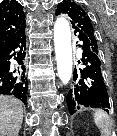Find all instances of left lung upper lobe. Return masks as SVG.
I'll return each instance as SVG.
<instances>
[{"mask_svg": "<svg viewBox=\"0 0 117 136\" xmlns=\"http://www.w3.org/2000/svg\"><path fill=\"white\" fill-rule=\"evenodd\" d=\"M68 14L72 19V27L75 32L83 34L89 41L92 50L99 55V44L96 37L95 29L87 12L74 1H63L58 5L56 14Z\"/></svg>", "mask_w": 117, "mask_h": 136, "instance_id": "5c2ea615", "label": "left lung upper lobe"}]
</instances>
